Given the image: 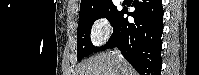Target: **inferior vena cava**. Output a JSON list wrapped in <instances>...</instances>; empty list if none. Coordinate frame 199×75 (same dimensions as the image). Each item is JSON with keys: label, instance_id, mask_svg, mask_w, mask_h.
I'll list each match as a JSON object with an SVG mask.
<instances>
[{"label": "inferior vena cava", "instance_id": "602c4592", "mask_svg": "<svg viewBox=\"0 0 199 75\" xmlns=\"http://www.w3.org/2000/svg\"><path fill=\"white\" fill-rule=\"evenodd\" d=\"M116 53H117V51H116ZM118 56H119L120 59H123L122 56L120 55V53L118 54Z\"/></svg>", "mask_w": 199, "mask_h": 75}]
</instances>
